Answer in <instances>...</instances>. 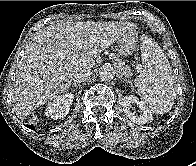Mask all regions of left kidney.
I'll return each instance as SVG.
<instances>
[{"instance_id":"5707ae66","label":"left kidney","mask_w":196,"mask_h":166,"mask_svg":"<svg viewBox=\"0 0 196 166\" xmlns=\"http://www.w3.org/2000/svg\"><path fill=\"white\" fill-rule=\"evenodd\" d=\"M135 103L142 111V113L137 116L135 113L131 112V104ZM121 104L123 106V111L125 115L136 124H146L153 120L150 110L143 101H139L137 97L133 95L125 96L122 98Z\"/></svg>"}]
</instances>
